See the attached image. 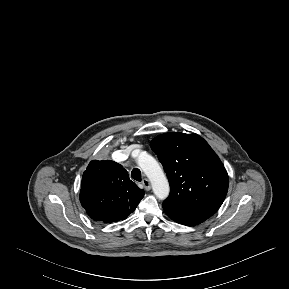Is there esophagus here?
<instances>
[{"label":"esophagus","mask_w":289,"mask_h":289,"mask_svg":"<svg viewBox=\"0 0 289 289\" xmlns=\"http://www.w3.org/2000/svg\"><path fill=\"white\" fill-rule=\"evenodd\" d=\"M142 185L146 191H149L151 189V183L148 179H144L142 181Z\"/></svg>","instance_id":"esophagus-1"}]
</instances>
